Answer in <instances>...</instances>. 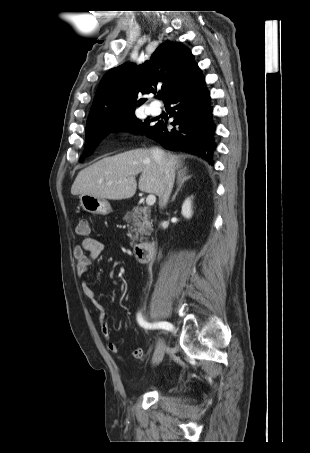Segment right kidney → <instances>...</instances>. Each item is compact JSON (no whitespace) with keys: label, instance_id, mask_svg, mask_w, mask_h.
Wrapping results in <instances>:
<instances>
[{"label":"right kidney","instance_id":"obj_1","mask_svg":"<svg viewBox=\"0 0 310 453\" xmlns=\"http://www.w3.org/2000/svg\"><path fill=\"white\" fill-rule=\"evenodd\" d=\"M181 213L187 219L192 217L193 212H192V201H191V198H187L184 201V203L182 205Z\"/></svg>","mask_w":310,"mask_h":453}]
</instances>
